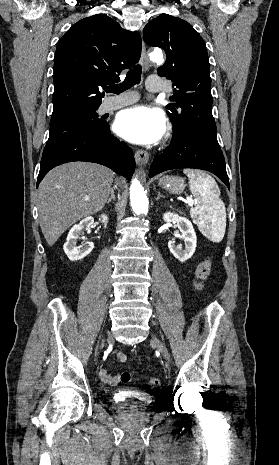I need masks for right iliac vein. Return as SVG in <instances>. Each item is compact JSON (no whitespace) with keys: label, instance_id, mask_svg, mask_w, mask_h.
<instances>
[{"label":"right iliac vein","instance_id":"1","mask_svg":"<svg viewBox=\"0 0 279 465\" xmlns=\"http://www.w3.org/2000/svg\"><path fill=\"white\" fill-rule=\"evenodd\" d=\"M103 346H104V343H102L100 347L103 348Z\"/></svg>","mask_w":279,"mask_h":465}]
</instances>
